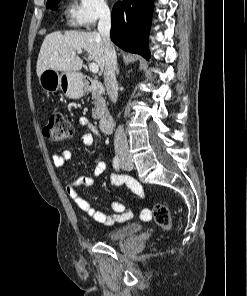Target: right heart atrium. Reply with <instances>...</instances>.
Listing matches in <instances>:
<instances>
[{"label": "right heart atrium", "instance_id": "d8ad5b80", "mask_svg": "<svg viewBox=\"0 0 247 296\" xmlns=\"http://www.w3.org/2000/svg\"><path fill=\"white\" fill-rule=\"evenodd\" d=\"M109 15L106 0H73L68 13L71 24L82 28H91L98 20Z\"/></svg>", "mask_w": 247, "mask_h": 296}]
</instances>
